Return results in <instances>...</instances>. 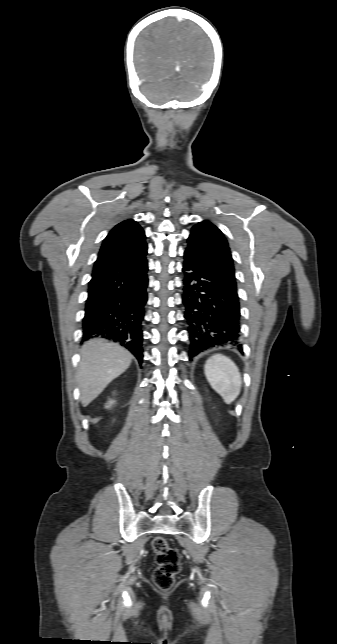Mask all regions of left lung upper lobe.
<instances>
[{
    "label": "left lung upper lobe",
    "instance_id": "obj_1",
    "mask_svg": "<svg viewBox=\"0 0 337 644\" xmlns=\"http://www.w3.org/2000/svg\"><path fill=\"white\" fill-rule=\"evenodd\" d=\"M187 242L185 253L210 265L237 290L233 259L227 240L215 225L207 220L194 225Z\"/></svg>",
    "mask_w": 337,
    "mask_h": 644
}]
</instances>
